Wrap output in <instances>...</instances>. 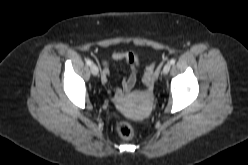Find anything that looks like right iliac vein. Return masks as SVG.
Segmentation results:
<instances>
[{
	"mask_svg": "<svg viewBox=\"0 0 248 165\" xmlns=\"http://www.w3.org/2000/svg\"><path fill=\"white\" fill-rule=\"evenodd\" d=\"M90 70L94 76L98 75V73H99V69H98L97 65H95V64L91 65Z\"/></svg>",
	"mask_w": 248,
	"mask_h": 165,
	"instance_id": "63e3f726",
	"label": "right iliac vein"
}]
</instances>
